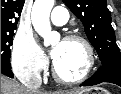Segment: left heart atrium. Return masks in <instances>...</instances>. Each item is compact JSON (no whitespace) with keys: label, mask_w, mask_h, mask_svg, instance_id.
I'll use <instances>...</instances> for the list:
<instances>
[{"label":"left heart atrium","mask_w":121,"mask_h":94,"mask_svg":"<svg viewBox=\"0 0 121 94\" xmlns=\"http://www.w3.org/2000/svg\"><path fill=\"white\" fill-rule=\"evenodd\" d=\"M58 48H53L52 49V52H51V56H52V58L55 60L56 59V57H57V55H58Z\"/></svg>","instance_id":"1"}]
</instances>
